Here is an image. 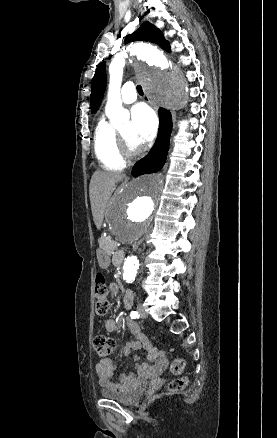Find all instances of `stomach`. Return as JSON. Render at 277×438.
<instances>
[{
  "instance_id": "obj_1",
  "label": "stomach",
  "mask_w": 277,
  "mask_h": 438,
  "mask_svg": "<svg viewBox=\"0 0 277 438\" xmlns=\"http://www.w3.org/2000/svg\"><path fill=\"white\" fill-rule=\"evenodd\" d=\"M97 258L100 267L102 268L108 267L110 263L109 254L105 253L104 251H98Z\"/></svg>"
}]
</instances>
